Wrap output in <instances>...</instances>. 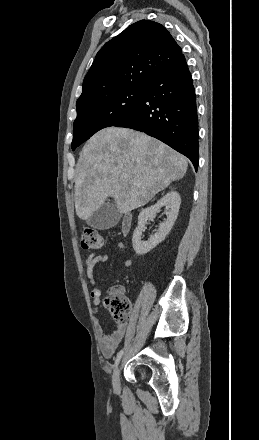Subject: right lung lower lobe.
Wrapping results in <instances>:
<instances>
[{"label":"right lung lower lobe","mask_w":259,"mask_h":440,"mask_svg":"<svg viewBox=\"0 0 259 440\" xmlns=\"http://www.w3.org/2000/svg\"><path fill=\"white\" fill-rule=\"evenodd\" d=\"M113 126L144 132L188 157L198 168L195 90L185 57L148 86L142 100Z\"/></svg>","instance_id":"98d812e1"}]
</instances>
